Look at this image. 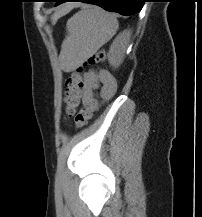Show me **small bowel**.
I'll return each mask as SVG.
<instances>
[{"mask_svg":"<svg viewBox=\"0 0 202 217\" xmlns=\"http://www.w3.org/2000/svg\"><path fill=\"white\" fill-rule=\"evenodd\" d=\"M97 77L103 84V92L105 96L110 97L114 95L117 90V81L115 77L106 70H102L98 73ZM96 75L94 72H86L83 76V93L82 102L84 105H89L93 100V92L95 88Z\"/></svg>","mask_w":202,"mask_h":217,"instance_id":"1","label":"small bowel"}]
</instances>
